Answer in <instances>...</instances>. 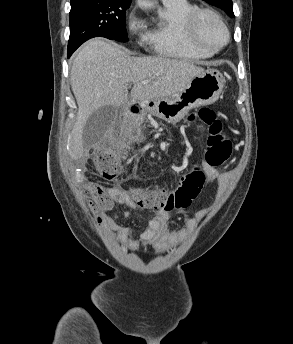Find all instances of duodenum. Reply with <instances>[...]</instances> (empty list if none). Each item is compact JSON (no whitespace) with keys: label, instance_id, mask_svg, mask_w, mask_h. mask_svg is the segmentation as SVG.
<instances>
[{"label":"duodenum","instance_id":"obj_1","mask_svg":"<svg viewBox=\"0 0 293 344\" xmlns=\"http://www.w3.org/2000/svg\"><path fill=\"white\" fill-rule=\"evenodd\" d=\"M127 113L130 117H135L139 114V112H134L130 109V107L127 108Z\"/></svg>","mask_w":293,"mask_h":344}]
</instances>
